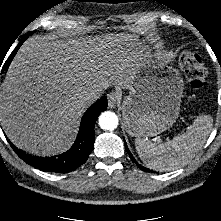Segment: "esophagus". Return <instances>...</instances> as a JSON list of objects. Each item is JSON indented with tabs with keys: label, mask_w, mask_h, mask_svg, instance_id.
<instances>
[{
	"label": "esophagus",
	"mask_w": 221,
	"mask_h": 221,
	"mask_svg": "<svg viewBox=\"0 0 221 221\" xmlns=\"http://www.w3.org/2000/svg\"><path fill=\"white\" fill-rule=\"evenodd\" d=\"M119 96H118V94L117 93H111L110 94V96H109V106L111 107V108H113V107H115L116 106V104H117V101H118V98Z\"/></svg>",
	"instance_id": "1"
}]
</instances>
